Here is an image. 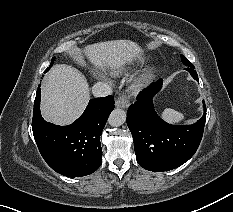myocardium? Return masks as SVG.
<instances>
[{
	"instance_id": "1",
	"label": "myocardium",
	"mask_w": 233,
	"mask_h": 212,
	"mask_svg": "<svg viewBox=\"0 0 233 212\" xmlns=\"http://www.w3.org/2000/svg\"><path fill=\"white\" fill-rule=\"evenodd\" d=\"M155 69L149 68L141 73L133 82V89L135 91L145 88L154 78Z\"/></svg>"
}]
</instances>
